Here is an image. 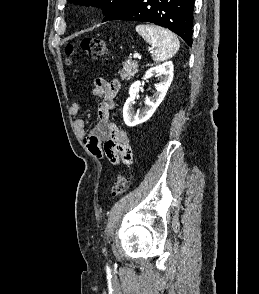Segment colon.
<instances>
[{
    "mask_svg": "<svg viewBox=\"0 0 259 294\" xmlns=\"http://www.w3.org/2000/svg\"><path fill=\"white\" fill-rule=\"evenodd\" d=\"M79 47L93 59H99L107 53V45L101 38H84L79 42ZM65 51L69 58V62H71V58L75 53L74 45H68ZM131 181L132 177L129 173H120L117 176L116 182L112 188V194L114 196L123 194L129 188Z\"/></svg>",
    "mask_w": 259,
    "mask_h": 294,
    "instance_id": "5ec220e1",
    "label": "colon"
}]
</instances>
